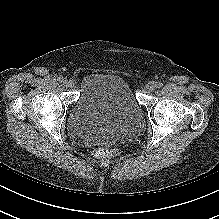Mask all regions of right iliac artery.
Here are the masks:
<instances>
[{
    "label": "right iliac artery",
    "mask_w": 219,
    "mask_h": 219,
    "mask_svg": "<svg viewBox=\"0 0 219 219\" xmlns=\"http://www.w3.org/2000/svg\"><path fill=\"white\" fill-rule=\"evenodd\" d=\"M57 80L59 81V82H64V78L62 77V76H59L58 78H57Z\"/></svg>",
    "instance_id": "1"
}]
</instances>
